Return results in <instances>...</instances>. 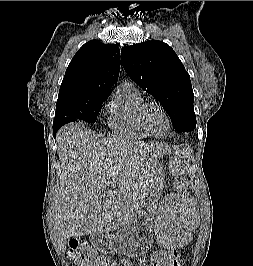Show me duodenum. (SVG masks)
Listing matches in <instances>:
<instances>
[{
  "mask_svg": "<svg viewBox=\"0 0 253 266\" xmlns=\"http://www.w3.org/2000/svg\"><path fill=\"white\" fill-rule=\"evenodd\" d=\"M106 239V236L103 234H94L93 235V242L95 244H98L100 241H104Z\"/></svg>",
  "mask_w": 253,
  "mask_h": 266,
  "instance_id": "obj_1",
  "label": "duodenum"
}]
</instances>
